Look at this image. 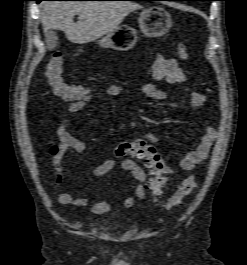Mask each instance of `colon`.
I'll use <instances>...</instances> for the list:
<instances>
[{
    "label": "colon",
    "instance_id": "obj_1",
    "mask_svg": "<svg viewBox=\"0 0 247 265\" xmlns=\"http://www.w3.org/2000/svg\"><path fill=\"white\" fill-rule=\"evenodd\" d=\"M177 55L182 60L189 58V50L185 43H180L176 49ZM64 59L60 52H55L47 66L46 80L48 86L55 97L68 102H85L88 103L92 99L89 88L70 84L64 80ZM114 156L116 158H125L127 156L135 157L140 160L143 165L149 169L151 180L149 188L154 196L161 194L162 187L167 182V174L169 168L166 166L161 154L150 143L143 141L121 142L114 148ZM198 186L193 176L188 177L169 197L165 204V209L171 211L181 204L183 198L188 196Z\"/></svg>",
    "mask_w": 247,
    "mask_h": 265
}]
</instances>
